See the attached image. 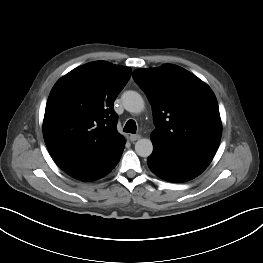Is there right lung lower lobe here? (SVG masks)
Instances as JSON below:
<instances>
[{
    "label": "right lung lower lobe",
    "instance_id": "right-lung-lower-lobe-1",
    "mask_svg": "<svg viewBox=\"0 0 263 263\" xmlns=\"http://www.w3.org/2000/svg\"><path fill=\"white\" fill-rule=\"evenodd\" d=\"M123 149L124 146L114 156L100 164L89 166L77 171L70 172L68 174L73 178L82 181H93L102 178L110 173L111 170L118 164Z\"/></svg>",
    "mask_w": 263,
    "mask_h": 263
}]
</instances>
